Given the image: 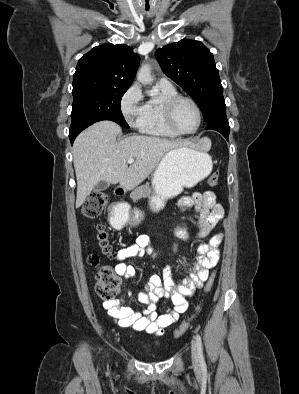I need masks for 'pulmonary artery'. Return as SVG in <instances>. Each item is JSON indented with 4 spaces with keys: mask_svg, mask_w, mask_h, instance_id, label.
<instances>
[{
    "mask_svg": "<svg viewBox=\"0 0 299 394\" xmlns=\"http://www.w3.org/2000/svg\"><path fill=\"white\" fill-rule=\"evenodd\" d=\"M159 83H160V84H163V85H166V86H171V85H172L171 82H170V80H169L168 78H166V77H162V78L159 80Z\"/></svg>",
    "mask_w": 299,
    "mask_h": 394,
    "instance_id": "1",
    "label": "pulmonary artery"
}]
</instances>
